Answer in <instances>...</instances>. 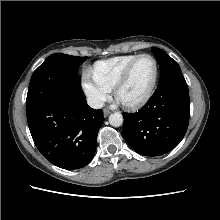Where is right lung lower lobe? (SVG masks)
<instances>
[{
  "label": "right lung lower lobe",
  "instance_id": "obj_1",
  "mask_svg": "<svg viewBox=\"0 0 220 220\" xmlns=\"http://www.w3.org/2000/svg\"><path fill=\"white\" fill-rule=\"evenodd\" d=\"M28 126L40 153L63 169H78L92 160L103 111L88 106L85 96L46 99L26 107Z\"/></svg>",
  "mask_w": 220,
  "mask_h": 220
}]
</instances>
